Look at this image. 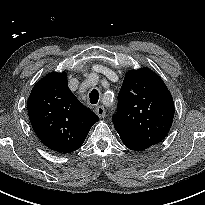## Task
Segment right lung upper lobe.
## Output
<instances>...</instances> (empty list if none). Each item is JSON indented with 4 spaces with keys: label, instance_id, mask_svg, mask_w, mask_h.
<instances>
[{
    "label": "right lung upper lobe",
    "instance_id": "right-lung-upper-lobe-1",
    "mask_svg": "<svg viewBox=\"0 0 205 205\" xmlns=\"http://www.w3.org/2000/svg\"><path fill=\"white\" fill-rule=\"evenodd\" d=\"M31 125L49 149L71 153L83 144L99 120L70 91L65 72H53L38 81L28 99Z\"/></svg>",
    "mask_w": 205,
    "mask_h": 205
}]
</instances>
